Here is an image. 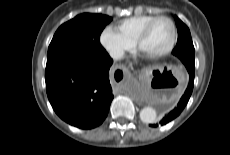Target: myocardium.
Listing matches in <instances>:
<instances>
[{
    "instance_id": "obj_1",
    "label": "myocardium",
    "mask_w": 230,
    "mask_h": 155,
    "mask_svg": "<svg viewBox=\"0 0 230 155\" xmlns=\"http://www.w3.org/2000/svg\"><path fill=\"white\" fill-rule=\"evenodd\" d=\"M158 20H166L170 23L171 27H172V38H171V42L168 45V47L166 49H164L163 51L160 52H156V53H145L142 48H141V44L143 42V40L145 39V37L147 36L150 28L152 27V25L158 21ZM177 42V26L176 23L174 22V20L168 16L165 15H160V16H155L153 19H151L149 22H147L143 28L141 29V31L139 32L136 40H135V44L138 47L139 50H141L143 53H145L147 56L151 57V58H161L164 56H167L168 54H170L172 52V50L174 49L175 45Z\"/></svg>"
}]
</instances>
